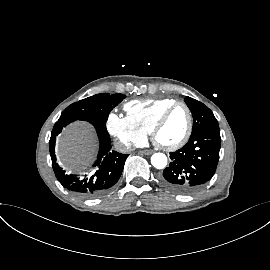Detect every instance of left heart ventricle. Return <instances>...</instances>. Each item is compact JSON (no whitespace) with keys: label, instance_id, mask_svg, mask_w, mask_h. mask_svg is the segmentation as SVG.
Returning a JSON list of instances; mask_svg holds the SVG:
<instances>
[{"label":"left heart ventricle","instance_id":"left-heart-ventricle-1","mask_svg":"<svg viewBox=\"0 0 270 270\" xmlns=\"http://www.w3.org/2000/svg\"><path fill=\"white\" fill-rule=\"evenodd\" d=\"M188 125L187 112L183 107L176 108L158 133V140L164 145L174 144L186 132Z\"/></svg>","mask_w":270,"mask_h":270}]
</instances>
